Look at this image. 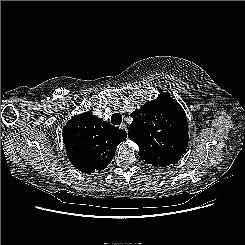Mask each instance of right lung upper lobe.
I'll list each match as a JSON object with an SVG mask.
<instances>
[{"mask_svg": "<svg viewBox=\"0 0 245 245\" xmlns=\"http://www.w3.org/2000/svg\"><path fill=\"white\" fill-rule=\"evenodd\" d=\"M126 137L125 131L90 112L76 115L63 130V142L71 164L87 174L105 169L118 144Z\"/></svg>", "mask_w": 245, "mask_h": 245, "instance_id": "cb5924a9", "label": "right lung upper lobe"}]
</instances>
